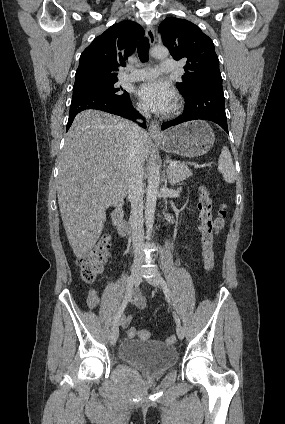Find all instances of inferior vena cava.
<instances>
[{"mask_svg":"<svg viewBox=\"0 0 285 424\" xmlns=\"http://www.w3.org/2000/svg\"><path fill=\"white\" fill-rule=\"evenodd\" d=\"M146 118H150L146 109H138ZM144 131L141 127L132 123L130 132V146L128 154V198L131 203V227L132 242L136 261L143 259L142 248L144 246V229H143V164L141 157V140Z\"/></svg>","mask_w":285,"mask_h":424,"instance_id":"1","label":"inferior vena cava"}]
</instances>
